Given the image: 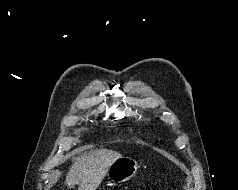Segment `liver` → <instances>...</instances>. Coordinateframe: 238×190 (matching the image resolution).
<instances>
[{
    "label": "liver",
    "instance_id": "obj_1",
    "mask_svg": "<svg viewBox=\"0 0 238 190\" xmlns=\"http://www.w3.org/2000/svg\"><path fill=\"white\" fill-rule=\"evenodd\" d=\"M122 155L108 149H96L74 158V163L66 175V185L78 190H96L104 179L109 167Z\"/></svg>",
    "mask_w": 238,
    "mask_h": 190
}]
</instances>
